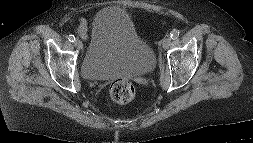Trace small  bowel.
<instances>
[{"instance_id":"c3829d8e","label":"small bowel","mask_w":253,"mask_h":143,"mask_svg":"<svg viewBox=\"0 0 253 143\" xmlns=\"http://www.w3.org/2000/svg\"><path fill=\"white\" fill-rule=\"evenodd\" d=\"M78 32H79V34L82 37H84L86 35V32H87V22L83 18H80L78 20Z\"/></svg>"}]
</instances>
